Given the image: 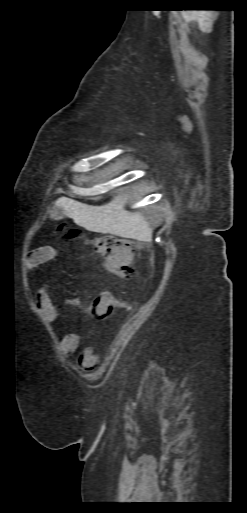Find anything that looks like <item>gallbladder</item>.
Instances as JSON below:
<instances>
[{
    "mask_svg": "<svg viewBox=\"0 0 247 513\" xmlns=\"http://www.w3.org/2000/svg\"><path fill=\"white\" fill-rule=\"evenodd\" d=\"M51 215L54 220H61L67 216L62 208H55L51 211Z\"/></svg>",
    "mask_w": 247,
    "mask_h": 513,
    "instance_id": "1",
    "label": "gallbladder"
}]
</instances>
